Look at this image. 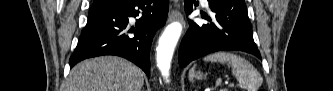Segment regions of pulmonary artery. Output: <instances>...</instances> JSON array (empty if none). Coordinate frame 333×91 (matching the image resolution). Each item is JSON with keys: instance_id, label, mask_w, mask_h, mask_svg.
Listing matches in <instances>:
<instances>
[{"instance_id": "obj_1", "label": "pulmonary artery", "mask_w": 333, "mask_h": 91, "mask_svg": "<svg viewBox=\"0 0 333 91\" xmlns=\"http://www.w3.org/2000/svg\"><path fill=\"white\" fill-rule=\"evenodd\" d=\"M202 3L205 7H208V2L206 0H203Z\"/></svg>"}]
</instances>
